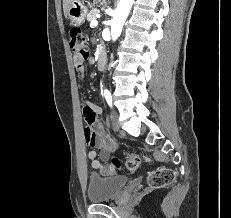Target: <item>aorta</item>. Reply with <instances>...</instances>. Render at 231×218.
Listing matches in <instances>:
<instances>
[{
  "label": "aorta",
  "instance_id": "1",
  "mask_svg": "<svg viewBox=\"0 0 231 218\" xmlns=\"http://www.w3.org/2000/svg\"><path fill=\"white\" fill-rule=\"evenodd\" d=\"M133 2L134 0H120L111 21V36L113 41L120 36Z\"/></svg>",
  "mask_w": 231,
  "mask_h": 218
}]
</instances>
